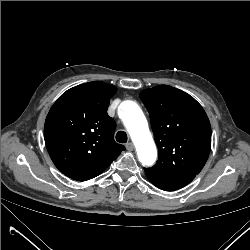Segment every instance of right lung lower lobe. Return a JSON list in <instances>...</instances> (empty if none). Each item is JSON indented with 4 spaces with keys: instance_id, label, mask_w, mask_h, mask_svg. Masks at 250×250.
Segmentation results:
<instances>
[{
    "instance_id": "right-lung-lower-lobe-1",
    "label": "right lung lower lobe",
    "mask_w": 250,
    "mask_h": 250,
    "mask_svg": "<svg viewBox=\"0 0 250 250\" xmlns=\"http://www.w3.org/2000/svg\"><path fill=\"white\" fill-rule=\"evenodd\" d=\"M99 174H101V173H99ZM99 174L93 175V176H88V177H83V178H80V179H77V180L78 181H86V180H89V179H92V178L98 176Z\"/></svg>"
}]
</instances>
